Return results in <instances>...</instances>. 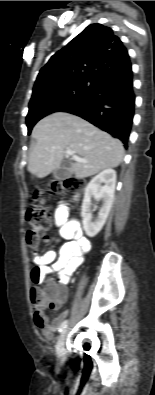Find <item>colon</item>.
I'll return each instance as SVG.
<instances>
[{
  "label": "colon",
  "mask_w": 155,
  "mask_h": 395,
  "mask_svg": "<svg viewBox=\"0 0 155 395\" xmlns=\"http://www.w3.org/2000/svg\"><path fill=\"white\" fill-rule=\"evenodd\" d=\"M82 184L81 180L69 177L61 182L51 183L50 190L57 194L64 191H76L82 187ZM26 221L29 224L26 241L30 249L31 258V247L36 242L42 243L46 241L47 233L51 227L49 210L39 192L36 193L34 202L26 211ZM32 261L35 262V260ZM32 283L31 299L35 307L40 306L47 298L55 299L61 297L62 289L52 282L32 281Z\"/></svg>",
  "instance_id": "5ec220e1"
}]
</instances>
